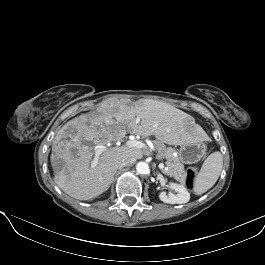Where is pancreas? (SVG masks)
<instances>
[{"label": "pancreas", "instance_id": "obj_1", "mask_svg": "<svg viewBox=\"0 0 265 265\" xmlns=\"http://www.w3.org/2000/svg\"><path fill=\"white\" fill-rule=\"evenodd\" d=\"M161 159H166V169L162 172L166 175L174 177L176 180L183 182L186 179L184 165L181 163L178 156H174L175 150L166 147L163 143L156 141L154 143Z\"/></svg>", "mask_w": 265, "mask_h": 265}]
</instances>
